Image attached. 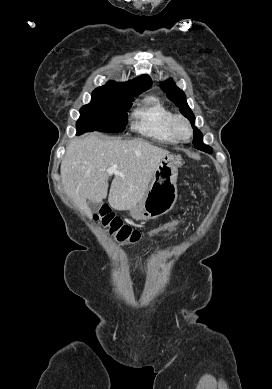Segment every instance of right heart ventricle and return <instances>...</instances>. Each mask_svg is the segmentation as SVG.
I'll list each match as a JSON object with an SVG mask.
<instances>
[{
	"mask_svg": "<svg viewBox=\"0 0 272 389\" xmlns=\"http://www.w3.org/2000/svg\"><path fill=\"white\" fill-rule=\"evenodd\" d=\"M172 111L156 96L144 98L133 111V128L138 133L154 140L177 143L174 137L170 121Z\"/></svg>",
	"mask_w": 272,
	"mask_h": 389,
	"instance_id": "obj_1",
	"label": "right heart ventricle"
}]
</instances>
